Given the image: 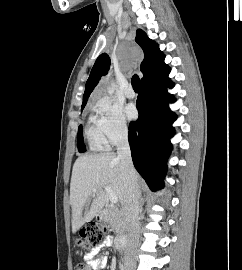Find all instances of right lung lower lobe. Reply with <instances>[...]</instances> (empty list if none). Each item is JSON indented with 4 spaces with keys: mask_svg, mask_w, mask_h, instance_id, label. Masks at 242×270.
<instances>
[{
    "mask_svg": "<svg viewBox=\"0 0 242 270\" xmlns=\"http://www.w3.org/2000/svg\"><path fill=\"white\" fill-rule=\"evenodd\" d=\"M169 72L163 64L141 82L136 104L139 118L129 124L133 164L152 190L163 188L166 160L172 149L169 138L174 135L176 116L168 107L175 101L166 91L167 86H174L167 77Z\"/></svg>",
    "mask_w": 242,
    "mask_h": 270,
    "instance_id": "98d812e1",
    "label": "right lung lower lobe"
}]
</instances>
